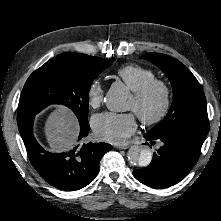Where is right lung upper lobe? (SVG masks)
<instances>
[{"label": "right lung upper lobe", "instance_id": "1", "mask_svg": "<svg viewBox=\"0 0 221 221\" xmlns=\"http://www.w3.org/2000/svg\"><path fill=\"white\" fill-rule=\"evenodd\" d=\"M94 58V56L69 52L60 54L53 59L61 60L64 65L68 67L82 68L89 64Z\"/></svg>", "mask_w": 221, "mask_h": 221}]
</instances>
